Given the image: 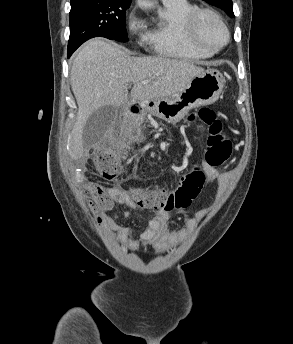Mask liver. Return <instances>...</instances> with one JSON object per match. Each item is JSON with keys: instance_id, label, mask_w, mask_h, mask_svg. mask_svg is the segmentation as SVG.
Returning <instances> with one entry per match:
<instances>
[{"instance_id": "6515ba94", "label": "liver", "mask_w": 293, "mask_h": 344, "mask_svg": "<svg viewBox=\"0 0 293 344\" xmlns=\"http://www.w3.org/2000/svg\"><path fill=\"white\" fill-rule=\"evenodd\" d=\"M204 69L188 60L166 57H131L119 46L96 38L82 46L71 68V87L78 104L77 120L69 137V154H84L83 127L103 106L121 107L132 102L170 97L185 89ZM149 80L147 84L143 81Z\"/></svg>"}]
</instances>
